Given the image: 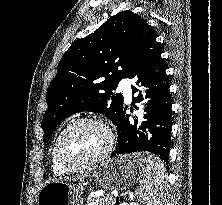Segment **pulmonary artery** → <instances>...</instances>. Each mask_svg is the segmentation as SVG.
<instances>
[{"label":"pulmonary artery","instance_id":"obj_1","mask_svg":"<svg viewBox=\"0 0 222 205\" xmlns=\"http://www.w3.org/2000/svg\"><path fill=\"white\" fill-rule=\"evenodd\" d=\"M129 84H130L129 78H123L119 85V89L124 92V95L128 100H130L131 98V90Z\"/></svg>","mask_w":222,"mask_h":205}]
</instances>
